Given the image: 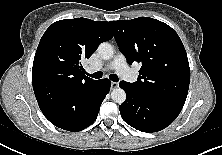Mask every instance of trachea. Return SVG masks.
Returning a JSON list of instances; mask_svg holds the SVG:
<instances>
[{
    "label": "trachea",
    "mask_w": 222,
    "mask_h": 155,
    "mask_svg": "<svg viewBox=\"0 0 222 155\" xmlns=\"http://www.w3.org/2000/svg\"><path fill=\"white\" fill-rule=\"evenodd\" d=\"M88 76H90V77H92V78H95V79H100V78H102V72H95V73H93V74H87ZM109 78L112 80V81H114V82H118V77H117V75H115V74H111L110 76H109Z\"/></svg>",
    "instance_id": "trachea-1"
}]
</instances>
